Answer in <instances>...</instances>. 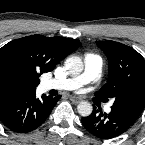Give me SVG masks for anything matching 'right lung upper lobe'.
Masks as SVG:
<instances>
[{
	"label": "right lung upper lobe",
	"mask_w": 145,
	"mask_h": 145,
	"mask_svg": "<svg viewBox=\"0 0 145 145\" xmlns=\"http://www.w3.org/2000/svg\"><path fill=\"white\" fill-rule=\"evenodd\" d=\"M80 46L77 39L31 35L0 49V100L35 93L39 77Z\"/></svg>",
	"instance_id": "cb5924a9"
}]
</instances>
